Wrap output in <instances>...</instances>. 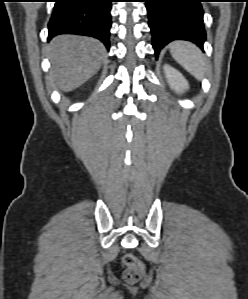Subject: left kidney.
<instances>
[{"label":"left kidney","instance_id":"left-kidney-1","mask_svg":"<svg viewBox=\"0 0 248 299\" xmlns=\"http://www.w3.org/2000/svg\"><path fill=\"white\" fill-rule=\"evenodd\" d=\"M164 72L170 84V87L177 93H183L189 88L188 82L185 77L173 67L164 65Z\"/></svg>","mask_w":248,"mask_h":299}]
</instances>
